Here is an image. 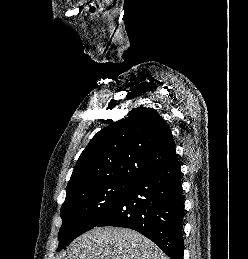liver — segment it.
Returning a JSON list of instances; mask_svg holds the SVG:
<instances>
[{
  "instance_id": "liver-1",
  "label": "liver",
  "mask_w": 248,
  "mask_h": 259,
  "mask_svg": "<svg viewBox=\"0 0 248 259\" xmlns=\"http://www.w3.org/2000/svg\"><path fill=\"white\" fill-rule=\"evenodd\" d=\"M59 259H169L142 234L120 227H96L75 239Z\"/></svg>"
}]
</instances>
